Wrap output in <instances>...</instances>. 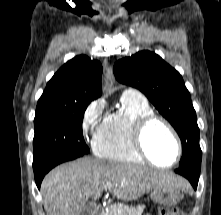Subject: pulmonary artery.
<instances>
[{"mask_svg": "<svg viewBox=\"0 0 221 215\" xmlns=\"http://www.w3.org/2000/svg\"><path fill=\"white\" fill-rule=\"evenodd\" d=\"M123 94L133 95V96H142V94L134 89H126Z\"/></svg>", "mask_w": 221, "mask_h": 215, "instance_id": "e3ab8cb5", "label": "pulmonary artery"}]
</instances>
